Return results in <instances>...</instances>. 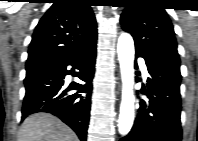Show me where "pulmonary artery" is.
<instances>
[{
  "label": "pulmonary artery",
  "instance_id": "1",
  "mask_svg": "<svg viewBox=\"0 0 198 141\" xmlns=\"http://www.w3.org/2000/svg\"><path fill=\"white\" fill-rule=\"evenodd\" d=\"M139 63L141 65V67H142V71H143L144 76H147L148 74H147V70H146V67H145V64H144V60L140 59Z\"/></svg>",
  "mask_w": 198,
  "mask_h": 141
}]
</instances>
